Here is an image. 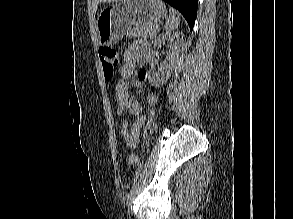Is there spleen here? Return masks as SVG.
I'll list each match as a JSON object with an SVG mask.
<instances>
[{"instance_id": "spleen-1", "label": "spleen", "mask_w": 293, "mask_h": 219, "mask_svg": "<svg viewBox=\"0 0 293 219\" xmlns=\"http://www.w3.org/2000/svg\"><path fill=\"white\" fill-rule=\"evenodd\" d=\"M180 24V15L179 13L173 9H169V18L166 21L165 29L169 32L174 31L178 25Z\"/></svg>"}]
</instances>
